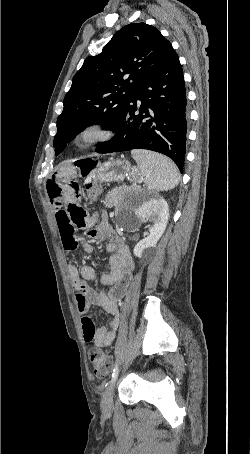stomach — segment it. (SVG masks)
Returning a JSON list of instances; mask_svg holds the SVG:
<instances>
[{"label": "stomach", "instance_id": "obj_1", "mask_svg": "<svg viewBox=\"0 0 250 454\" xmlns=\"http://www.w3.org/2000/svg\"><path fill=\"white\" fill-rule=\"evenodd\" d=\"M79 175L94 182L119 181L128 174L132 182L141 179L142 174L136 168H131L125 159H112L101 163L95 159H83L79 161Z\"/></svg>", "mask_w": 250, "mask_h": 454}]
</instances>
